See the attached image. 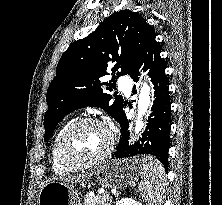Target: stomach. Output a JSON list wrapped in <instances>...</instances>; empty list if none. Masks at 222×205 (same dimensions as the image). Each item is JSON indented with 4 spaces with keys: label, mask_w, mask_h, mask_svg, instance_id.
Returning a JSON list of instances; mask_svg holds the SVG:
<instances>
[{
    "label": "stomach",
    "mask_w": 222,
    "mask_h": 205,
    "mask_svg": "<svg viewBox=\"0 0 222 205\" xmlns=\"http://www.w3.org/2000/svg\"><path fill=\"white\" fill-rule=\"evenodd\" d=\"M94 176L102 187L126 188L141 176L140 158L107 162L96 169ZM38 205H80V199L72 185L52 181L41 189Z\"/></svg>",
    "instance_id": "0dacf381"
}]
</instances>
